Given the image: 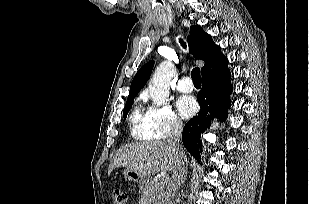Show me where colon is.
Here are the masks:
<instances>
[{
	"label": "colon",
	"instance_id": "1",
	"mask_svg": "<svg viewBox=\"0 0 309 204\" xmlns=\"http://www.w3.org/2000/svg\"><path fill=\"white\" fill-rule=\"evenodd\" d=\"M127 199V193L122 190H115L113 193L114 204H125Z\"/></svg>",
	"mask_w": 309,
	"mask_h": 204
}]
</instances>
